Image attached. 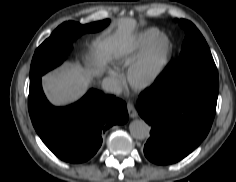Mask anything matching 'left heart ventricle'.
I'll list each match as a JSON object with an SVG mask.
<instances>
[{"label": "left heart ventricle", "mask_w": 236, "mask_h": 182, "mask_svg": "<svg viewBox=\"0 0 236 182\" xmlns=\"http://www.w3.org/2000/svg\"><path fill=\"white\" fill-rule=\"evenodd\" d=\"M166 47L167 42L165 40H162L158 43L149 65L144 68V73H147L160 60L166 50Z\"/></svg>", "instance_id": "left-heart-ventricle-1"}]
</instances>
